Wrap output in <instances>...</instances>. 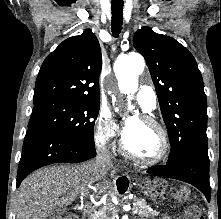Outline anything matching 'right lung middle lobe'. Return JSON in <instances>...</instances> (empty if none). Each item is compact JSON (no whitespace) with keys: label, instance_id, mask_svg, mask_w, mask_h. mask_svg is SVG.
<instances>
[{"label":"right lung middle lobe","instance_id":"right-lung-middle-lobe-1","mask_svg":"<svg viewBox=\"0 0 221 219\" xmlns=\"http://www.w3.org/2000/svg\"><path fill=\"white\" fill-rule=\"evenodd\" d=\"M100 102L65 99L34 103L28 128L37 126L94 146V124Z\"/></svg>","mask_w":221,"mask_h":219}]
</instances>
